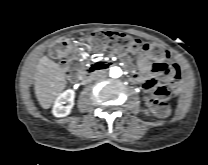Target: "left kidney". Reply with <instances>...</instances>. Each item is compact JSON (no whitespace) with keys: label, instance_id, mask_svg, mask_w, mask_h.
<instances>
[{"label":"left kidney","instance_id":"5707ae66","mask_svg":"<svg viewBox=\"0 0 208 165\" xmlns=\"http://www.w3.org/2000/svg\"><path fill=\"white\" fill-rule=\"evenodd\" d=\"M144 113H145L146 115H148V114H149L148 110H144Z\"/></svg>","mask_w":208,"mask_h":165}]
</instances>
